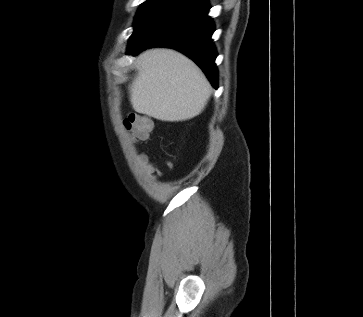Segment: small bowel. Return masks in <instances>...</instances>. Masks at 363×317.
<instances>
[{"instance_id": "small-bowel-1", "label": "small bowel", "mask_w": 363, "mask_h": 317, "mask_svg": "<svg viewBox=\"0 0 363 317\" xmlns=\"http://www.w3.org/2000/svg\"><path fill=\"white\" fill-rule=\"evenodd\" d=\"M142 160L146 161V157L143 156ZM147 170H148V172L150 173V175L152 177H154V178L157 177L156 168H155V166L153 164L147 163Z\"/></svg>"}]
</instances>
